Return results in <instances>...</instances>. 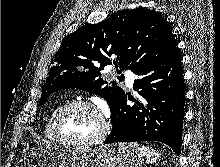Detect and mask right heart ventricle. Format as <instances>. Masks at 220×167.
<instances>
[{"mask_svg":"<svg viewBox=\"0 0 220 167\" xmlns=\"http://www.w3.org/2000/svg\"><path fill=\"white\" fill-rule=\"evenodd\" d=\"M61 105H58L57 107H55L52 112L50 113V115L48 116L46 122H45V125H44V128H43V134L45 136L46 139L50 140L51 142H57L54 135H53V132H52V119H53V116L56 112V110L60 107Z\"/></svg>","mask_w":220,"mask_h":167,"instance_id":"1","label":"right heart ventricle"}]
</instances>
